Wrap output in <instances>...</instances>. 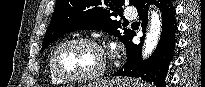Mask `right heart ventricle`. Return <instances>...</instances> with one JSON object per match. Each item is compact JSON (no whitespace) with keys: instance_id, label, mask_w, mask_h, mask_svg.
<instances>
[{"instance_id":"obj_1","label":"right heart ventricle","mask_w":205,"mask_h":87,"mask_svg":"<svg viewBox=\"0 0 205 87\" xmlns=\"http://www.w3.org/2000/svg\"><path fill=\"white\" fill-rule=\"evenodd\" d=\"M49 76H50V80L53 84L59 85V84H63L64 82L61 81L60 79H58L51 71L50 65H49Z\"/></svg>"}]
</instances>
